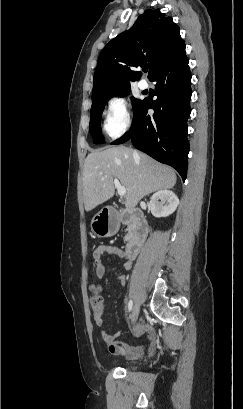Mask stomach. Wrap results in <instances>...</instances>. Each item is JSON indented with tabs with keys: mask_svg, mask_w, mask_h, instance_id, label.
<instances>
[{
	"mask_svg": "<svg viewBox=\"0 0 243 409\" xmlns=\"http://www.w3.org/2000/svg\"><path fill=\"white\" fill-rule=\"evenodd\" d=\"M91 229L97 236L110 237L115 233L116 226H113L108 218L99 212L92 219Z\"/></svg>",
	"mask_w": 243,
	"mask_h": 409,
	"instance_id": "1",
	"label": "stomach"
}]
</instances>
